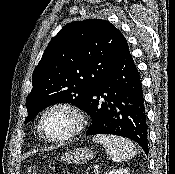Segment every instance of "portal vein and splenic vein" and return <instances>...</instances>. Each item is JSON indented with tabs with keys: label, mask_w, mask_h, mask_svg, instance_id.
<instances>
[{
	"label": "portal vein and splenic vein",
	"mask_w": 175,
	"mask_h": 174,
	"mask_svg": "<svg viewBox=\"0 0 175 174\" xmlns=\"http://www.w3.org/2000/svg\"><path fill=\"white\" fill-rule=\"evenodd\" d=\"M94 173H95V174H99V169H98L97 166H96L95 169H94Z\"/></svg>",
	"instance_id": "18ae733b"
}]
</instances>
